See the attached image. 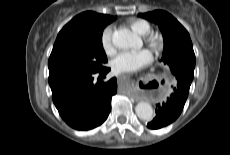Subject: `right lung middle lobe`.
Here are the masks:
<instances>
[{
    "label": "right lung middle lobe",
    "instance_id": "1",
    "mask_svg": "<svg viewBox=\"0 0 230 155\" xmlns=\"http://www.w3.org/2000/svg\"><path fill=\"white\" fill-rule=\"evenodd\" d=\"M107 62L102 33L92 39L55 42L49 58V75L68 72H97Z\"/></svg>",
    "mask_w": 230,
    "mask_h": 155
}]
</instances>
